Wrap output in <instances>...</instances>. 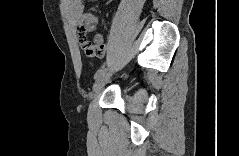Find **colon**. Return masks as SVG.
<instances>
[{"label":"colon","mask_w":239,"mask_h":156,"mask_svg":"<svg viewBox=\"0 0 239 156\" xmlns=\"http://www.w3.org/2000/svg\"><path fill=\"white\" fill-rule=\"evenodd\" d=\"M95 26V20L93 18H88L85 22L79 24L78 26V33L79 35H83L84 40L81 41L82 48L87 53H92L96 50L95 45H93L88 39H87V33L91 32L94 29ZM99 39V38H97Z\"/></svg>","instance_id":"obj_1"}]
</instances>
